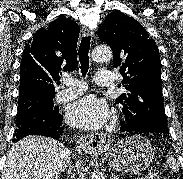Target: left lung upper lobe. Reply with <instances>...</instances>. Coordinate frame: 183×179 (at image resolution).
I'll return each instance as SVG.
<instances>
[{"label":"left lung upper lobe","instance_id":"1","mask_svg":"<svg viewBox=\"0 0 183 179\" xmlns=\"http://www.w3.org/2000/svg\"><path fill=\"white\" fill-rule=\"evenodd\" d=\"M99 38L113 50L114 67H120V95L126 123L151 133L168 134L161 92V62L156 42L132 17L115 11L104 20Z\"/></svg>","mask_w":183,"mask_h":179}]
</instances>
